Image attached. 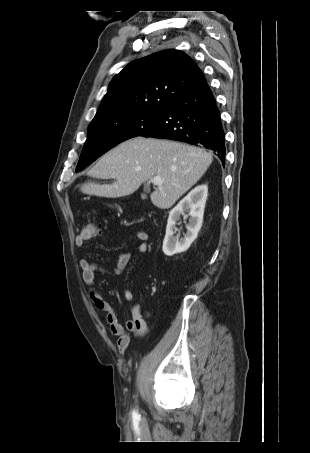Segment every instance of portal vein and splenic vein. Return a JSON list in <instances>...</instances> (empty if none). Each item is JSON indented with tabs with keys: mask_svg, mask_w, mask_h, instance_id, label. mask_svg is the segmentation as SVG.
<instances>
[{
	"mask_svg": "<svg viewBox=\"0 0 310 453\" xmlns=\"http://www.w3.org/2000/svg\"><path fill=\"white\" fill-rule=\"evenodd\" d=\"M152 183L154 185L160 186V185H162L163 180L159 176H156L152 179Z\"/></svg>",
	"mask_w": 310,
	"mask_h": 453,
	"instance_id": "obj_1",
	"label": "portal vein and splenic vein"
}]
</instances>
